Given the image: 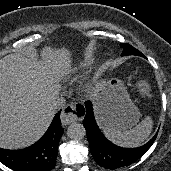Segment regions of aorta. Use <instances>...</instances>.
Returning <instances> with one entry per match:
<instances>
[{"label": "aorta", "instance_id": "aorta-1", "mask_svg": "<svg viewBox=\"0 0 171 171\" xmlns=\"http://www.w3.org/2000/svg\"><path fill=\"white\" fill-rule=\"evenodd\" d=\"M67 135L73 140H81L86 135V130L81 123H72L67 128Z\"/></svg>", "mask_w": 171, "mask_h": 171}]
</instances>
